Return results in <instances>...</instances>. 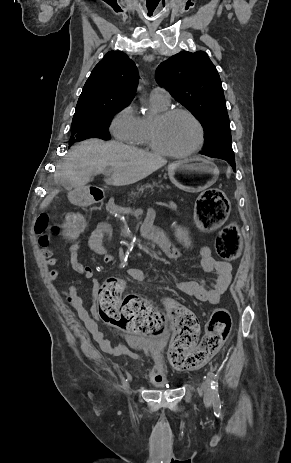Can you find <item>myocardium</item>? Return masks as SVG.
<instances>
[{
    "instance_id": "myocardium-1",
    "label": "myocardium",
    "mask_w": 291,
    "mask_h": 463,
    "mask_svg": "<svg viewBox=\"0 0 291 463\" xmlns=\"http://www.w3.org/2000/svg\"><path fill=\"white\" fill-rule=\"evenodd\" d=\"M177 115H185L190 118L198 128V141L190 149L184 152H174L164 147L158 140L157 125L156 122H150L149 126V142L150 146L158 153L172 158H186L197 153L204 145L205 142V129L199 118L190 110L184 108H171L163 110L157 117L158 120H168Z\"/></svg>"
}]
</instances>
